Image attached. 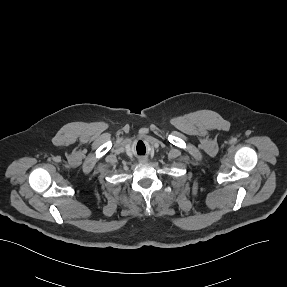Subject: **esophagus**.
Masks as SVG:
<instances>
[{"label":"esophagus","instance_id":"esophagus-1","mask_svg":"<svg viewBox=\"0 0 287 287\" xmlns=\"http://www.w3.org/2000/svg\"><path fill=\"white\" fill-rule=\"evenodd\" d=\"M140 162H142V163L147 162V159L142 157V158H140Z\"/></svg>","mask_w":287,"mask_h":287}]
</instances>
